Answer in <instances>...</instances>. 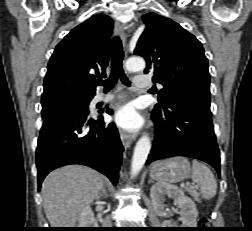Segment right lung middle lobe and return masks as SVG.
Returning a JSON list of instances; mask_svg holds the SVG:
<instances>
[{
	"label": "right lung middle lobe",
	"mask_w": 252,
	"mask_h": 231,
	"mask_svg": "<svg viewBox=\"0 0 252 231\" xmlns=\"http://www.w3.org/2000/svg\"><path fill=\"white\" fill-rule=\"evenodd\" d=\"M91 97L63 95L41 101L42 119L48 120L65 113H84L88 111Z\"/></svg>",
	"instance_id": "obj_1"
}]
</instances>
